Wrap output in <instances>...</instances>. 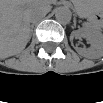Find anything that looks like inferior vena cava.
Returning <instances> with one entry per match:
<instances>
[{"instance_id": "602c4592", "label": "inferior vena cava", "mask_w": 103, "mask_h": 103, "mask_svg": "<svg viewBox=\"0 0 103 103\" xmlns=\"http://www.w3.org/2000/svg\"><path fill=\"white\" fill-rule=\"evenodd\" d=\"M45 15H46V13L41 10L32 11L30 13V20L32 22H35L37 20H41Z\"/></svg>"}]
</instances>
